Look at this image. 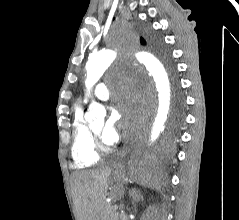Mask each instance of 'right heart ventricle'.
<instances>
[{"instance_id":"1","label":"right heart ventricle","mask_w":239,"mask_h":220,"mask_svg":"<svg viewBox=\"0 0 239 220\" xmlns=\"http://www.w3.org/2000/svg\"><path fill=\"white\" fill-rule=\"evenodd\" d=\"M71 154L78 168H88L98 163L100 156L95 148L91 129L83 117V109L77 107L73 116V142Z\"/></svg>"}]
</instances>
